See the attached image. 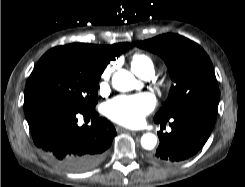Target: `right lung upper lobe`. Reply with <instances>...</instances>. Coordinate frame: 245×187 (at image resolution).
Listing matches in <instances>:
<instances>
[{
	"mask_svg": "<svg viewBox=\"0 0 245 187\" xmlns=\"http://www.w3.org/2000/svg\"><path fill=\"white\" fill-rule=\"evenodd\" d=\"M91 46L99 50H105L111 53L115 52L117 54L115 56L113 55L114 57L113 59H115L116 56H119L121 53H123L125 50L128 49L129 43H119V44H114L112 46H99V45H91Z\"/></svg>",
	"mask_w": 245,
	"mask_h": 187,
	"instance_id": "right-lung-upper-lobe-1",
	"label": "right lung upper lobe"
}]
</instances>
